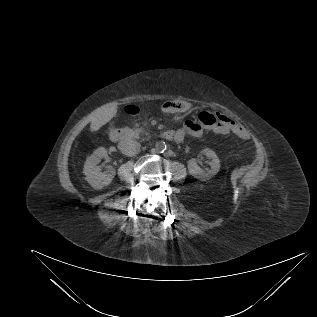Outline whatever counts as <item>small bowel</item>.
<instances>
[{
    "mask_svg": "<svg viewBox=\"0 0 317 317\" xmlns=\"http://www.w3.org/2000/svg\"><path fill=\"white\" fill-rule=\"evenodd\" d=\"M191 109V105L182 100H169L163 104V111L165 113H183ZM220 119L217 125L211 126L210 129L217 133L235 132L241 137H246V132L240 123L230 118L224 113H218ZM204 127L192 120H188L184 125L176 132L175 141L180 143L187 135L194 137H200L203 134Z\"/></svg>",
    "mask_w": 317,
    "mask_h": 317,
    "instance_id": "small-bowel-1",
    "label": "small bowel"
}]
</instances>
